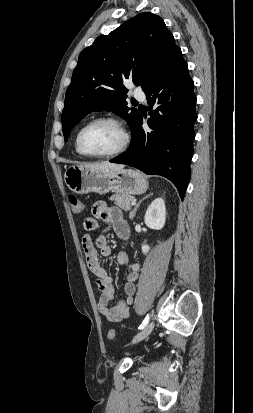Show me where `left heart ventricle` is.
I'll use <instances>...</instances> for the list:
<instances>
[{
  "label": "left heart ventricle",
  "mask_w": 253,
  "mask_h": 413,
  "mask_svg": "<svg viewBox=\"0 0 253 413\" xmlns=\"http://www.w3.org/2000/svg\"><path fill=\"white\" fill-rule=\"evenodd\" d=\"M122 141L120 131L110 123H96L82 134V148L92 154L108 153L116 150Z\"/></svg>",
  "instance_id": "b2bd125f"
}]
</instances>
